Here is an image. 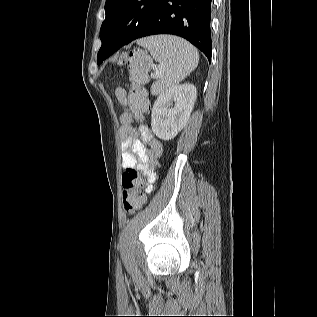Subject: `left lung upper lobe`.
Listing matches in <instances>:
<instances>
[{
    "instance_id": "obj_1",
    "label": "left lung upper lobe",
    "mask_w": 317,
    "mask_h": 317,
    "mask_svg": "<svg viewBox=\"0 0 317 317\" xmlns=\"http://www.w3.org/2000/svg\"><path fill=\"white\" fill-rule=\"evenodd\" d=\"M161 2L162 0H106V18L100 29L102 46L97 63L104 60V42L124 45L133 41Z\"/></svg>"
}]
</instances>
